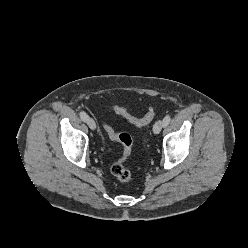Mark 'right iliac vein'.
<instances>
[{"instance_id":"63e3f726","label":"right iliac vein","mask_w":248,"mask_h":248,"mask_svg":"<svg viewBox=\"0 0 248 248\" xmlns=\"http://www.w3.org/2000/svg\"><path fill=\"white\" fill-rule=\"evenodd\" d=\"M87 125L89 126L90 129L95 130L96 129V123L94 119L92 118H87Z\"/></svg>"}]
</instances>
